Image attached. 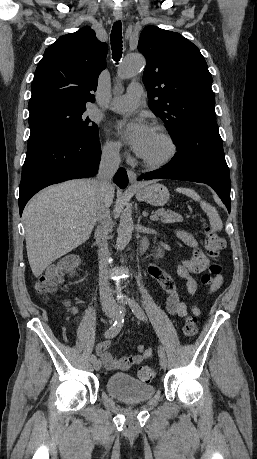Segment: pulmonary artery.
<instances>
[{
  "label": "pulmonary artery",
  "mask_w": 257,
  "mask_h": 459,
  "mask_svg": "<svg viewBox=\"0 0 257 459\" xmlns=\"http://www.w3.org/2000/svg\"><path fill=\"white\" fill-rule=\"evenodd\" d=\"M143 94V87L140 83H131L124 95L114 97L108 104L113 111L123 112L135 109Z\"/></svg>",
  "instance_id": "1"
}]
</instances>
